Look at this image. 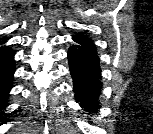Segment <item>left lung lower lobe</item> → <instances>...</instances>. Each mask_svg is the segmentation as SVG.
Masks as SVG:
<instances>
[{"instance_id":"obj_1","label":"left lung lower lobe","mask_w":153,"mask_h":134,"mask_svg":"<svg viewBox=\"0 0 153 134\" xmlns=\"http://www.w3.org/2000/svg\"><path fill=\"white\" fill-rule=\"evenodd\" d=\"M78 44L68 50L73 90L80 106L89 114H94L101 107L99 103L102 89L100 58L95 48Z\"/></svg>"}]
</instances>
